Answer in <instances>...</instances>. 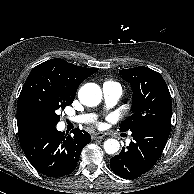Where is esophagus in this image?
Instances as JSON below:
<instances>
[{"instance_id": "1", "label": "esophagus", "mask_w": 194, "mask_h": 194, "mask_svg": "<svg viewBox=\"0 0 194 194\" xmlns=\"http://www.w3.org/2000/svg\"><path fill=\"white\" fill-rule=\"evenodd\" d=\"M104 136L105 135L103 133L98 132V133H92L91 138L93 140H95V139H102Z\"/></svg>"}]
</instances>
